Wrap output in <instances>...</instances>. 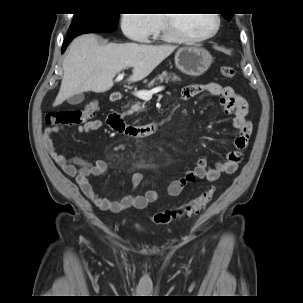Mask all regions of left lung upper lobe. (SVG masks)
Listing matches in <instances>:
<instances>
[{
	"label": "left lung upper lobe",
	"instance_id": "1",
	"mask_svg": "<svg viewBox=\"0 0 303 303\" xmlns=\"http://www.w3.org/2000/svg\"><path fill=\"white\" fill-rule=\"evenodd\" d=\"M233 14H222V16H224L226 19H231Z\"/></svg>",
	"mask_w": 303,
	"mask_h": 303
}]
</instances>
